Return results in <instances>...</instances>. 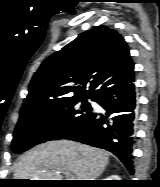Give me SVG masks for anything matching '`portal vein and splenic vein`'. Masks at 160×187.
<instances>
[{"label": "portal vein and splenic vein", "mask_w": 160, "mask_h": 187, "mask_svg": "<svg viewBox=\"0 0 160 187\" xmlns=\"http://www.w3.org/2000/svg\"><path fill=\"white\" fill-rule=\"evenodd\" d=\"M67 175L68 180H75L74 176H72L69 172H63Z\"/></svg>", "instance_id": "portal-vein-and-splenic-vein-1"}]
</instances>
